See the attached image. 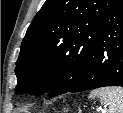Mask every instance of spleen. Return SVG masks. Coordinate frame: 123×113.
<instances>
[{"label":"spleen","instance_id":"spleen-1","mask_svg":"<svg viewBox=\"0 0 123 113\" xmlns=\"http://www.w3.org/2000/svg\"><path fill=\"white\" fill-rule=\"evenodd\" d=\"M90 98H99L101 103L108 105V113H123V88L104 87L93 90Z\"/></svg>","mask_w":123,"mask_h":113}]
</instances>
